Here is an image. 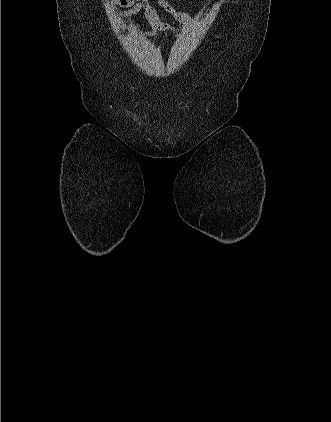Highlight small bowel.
Listing matches in <instances>:
<instances>
[{
	"instance_id": "c3829d8e",
	"label": "small bowel",
	"mask_w": 331,
	"mask_h": 422,
	"mask_svg": "<svg viewBox=\"0 0 331 422\" xmlns=\"http://www.w3.org/2000/svg\"><path fill=\"white\" fill-rule=\"evenodd\" d=\"M109 7H125L121 13V19L143 13L147 19L150 29L139 34L141 38L154 36L157 32L176 34L178 28L174 27L160 19L157 10L150 5L149 0H109ZM158 5L169 13L179 24L180 27L188 28L191 25V17L188 13L175 10L167 0H158ZM162 43V41H159Z\"/></svg>"
}]
</instances>
